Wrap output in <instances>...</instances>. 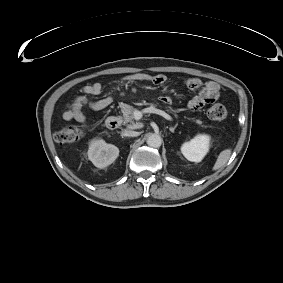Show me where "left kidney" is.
<instances>
[{
	"instance_id": "1",
	"label": "left kidney",
	"mask_w": 283,
	"mask_h": 283,
	"mask_svg": "<svg viewBox=\"0 0 283 283\" xmlns=\"http://www.w3.org/2000/svg\"><path fill=\"white\" fill-rule=\"evenodd\" d=\"M210 137L205 134L197 135L181 147L184 157L192 162H200L209 150Z\"/></svg>"
}]
</instances>
